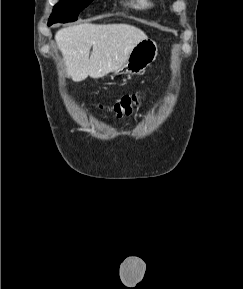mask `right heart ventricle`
Here are the masks:
<instances>
[{
	"label": "right heart ventricle",
	"instance_id": "1",
	"mask_svg": "<svg viewBox=\"0 0 243 289\" xmlns=\"http://www.w3.org/2000/svg\"><path fill=\"white\" fill-rule=\"evenodd\" d=\"M130 7L135 10H148L152 7L150 0H132Z\"/></svg>",
	"mask_w": 243,
	"mask_h": 289
}]
</instances>
